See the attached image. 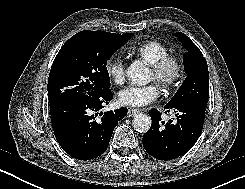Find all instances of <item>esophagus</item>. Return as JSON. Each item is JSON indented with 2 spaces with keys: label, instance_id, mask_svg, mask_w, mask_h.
I'll use <instances>...</instances> for the list:
<instances>
[{
  "label": "esophagus",
  "instance_id": "obj_1",
  "mask_svg": "<svg viewBox=\"0 0 245 189\" xmlns=\"http://www.w3.org/2000/svg\"><path fill=\"white\" fill-rule=\"evenodd\" d=\"M138 113V111L136 110V109H134V108H129L128 109V113H127V116L128 117H133L135 114H137Z\"/></svg>",
  "mask_w": 245,
  "mask_h": 189
}]
</instances>
